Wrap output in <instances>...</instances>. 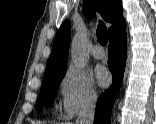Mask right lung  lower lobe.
Instances as JSON below:
<instances>
[{
	"instance_id": "1",
	"label": "right lung lower lobe",
	"mask_w": 156,
	"mask_h": 124,
	"mask_svg": "<svg viewBox=\"0 0 156 124\" xmlns=\"http://www.w3.org/2000/svg\"><path fill=\"white\" fill-rule=\"evenodd\" d=\"M126 56V33L123 29L110 37L108 65L113 76V83L98 99L94 124H110L112 106L123 79Z\"/></svg>"
}]
</instances>
